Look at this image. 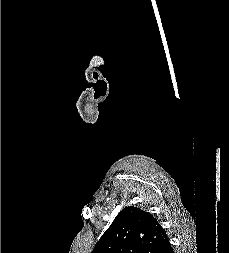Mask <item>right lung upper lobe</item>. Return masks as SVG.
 Here are the masks:
<instances>
[{"label":"right lung upper lobe","instance_id":"right-lung-upper-lobe-1","mask_svg":"<svg viewBox=\"0 0 229 253\" xmlns=\"http://www.w3.org/2000/svg\"><path fill=\"white\" fill-rule=\"evenodd\" d=\"M170 245L165 230L148 212L125 207L92 253H162Z\"/></svg>","mask_w":229,"mask_h":253}]
</instances>
